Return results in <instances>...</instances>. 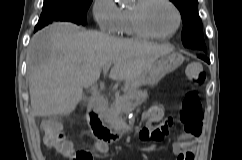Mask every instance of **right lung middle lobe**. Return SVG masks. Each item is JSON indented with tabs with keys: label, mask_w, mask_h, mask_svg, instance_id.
I'll return each instance as SVG.
<instances>
[{
	"label": "right lung middle lobe",
	"mask_w": 242,
	"mask_h": 160,
	"mask_svg": "<svg viewBox=\"0 0 242 160\" xmlns=\"http://www.w3.org/2000/svg\"><path fill=\"white\" fill-rule=\"evenodd\" d=\"M92 0H44L40 19L35 31L51 24L53 21H70L86 24V12Z\"/></svg>",
	"instance_id": "obj_1"
}]
</instances>
